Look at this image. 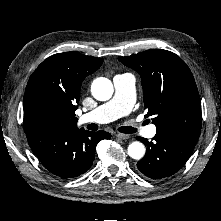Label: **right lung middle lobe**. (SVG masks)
<instances>
[{"label": "right lung middle lobe", "mask_w": 221, "mask_h": 221, "mask_svg": "<svg viewBox=\"0 0 221 221\" xmlns=\"http://www.w3.org/2000/svg\"><path fill=\"white\" fill-rule=\"evenodd\" d=\"M35 112L41 117L48 119L50 116V108L46 103L38 102L34 106Z\"/></svg>", "instance_id": "1"}]
</instances>
